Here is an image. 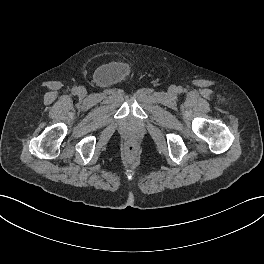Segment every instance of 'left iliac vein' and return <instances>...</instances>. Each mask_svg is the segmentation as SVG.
Here are the masks:
<instances>
[{
    "label": "left iliac vein",
    "instance_id": "left-iliac-vein-1",
    "mask_svg": "<svg viewBox=\"0 0 264 264\" xmlns=\"http://www.w3.org/2000/svg\"><path fill=\"white\" fill-rule=\"evenodd\" d=\"M169 92L174 94L176 92V88L174 86L170 87Z\"/></svg>",
    "mask_w": 264,
    "mask_h": 264
}]
</instances>
